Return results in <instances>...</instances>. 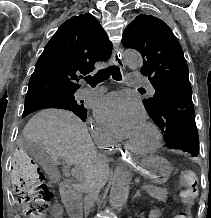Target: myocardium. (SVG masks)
<instances>
[{
	"instance_id": "1",
	"label": "myocardium",
	"mask_w": 211,
	"mask_h": 218,
	"mask_svg": "<svg viewBox=\"0 0 211 218\" xmlns=\"http://www.w3.org/2000/svg\"><path fill=\"white\" fill-rule=\"evenodd\" d=\"M145 125L152 133L153 141L147 147L135 146V145H132L129 141H127L125 143V147L130 153H132L134 155H138V156L150 155V154L154 153L160 145L161 135H160V132H159L157 126L155 124H153L152 122H147Z\"/></svg>"
}]
</instances>
